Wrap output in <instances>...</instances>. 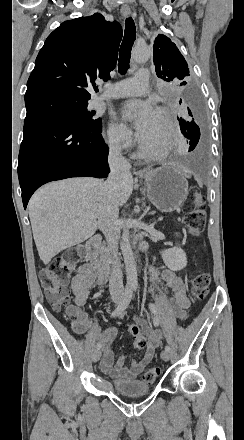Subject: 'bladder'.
Segmentation results:
<instances>
[{
	"label": "bladder",
	"instance_id": "bladder-1",
	"mask_svg": "<svg viewBox=\"0 0 244 440\" xmlns=\"http://www.w3.org/2000/svg\"><path fill=\"white\" fill-rule=\"evenodd\" d=\"M114 391L124 396H135L148 394L151 391L150 385L143 382L141 378L133 380H115Z\"/></svg>",
	"mask_w": 244,
	"mask_h": 440
}]
</instances>
